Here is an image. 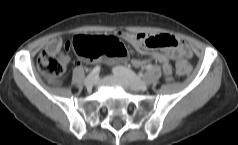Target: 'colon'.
I'll return each mask as SVG.
<instances>
[{
  "mask_svg": "<svg viewBox=\"0 0 238 145\" xmlns=\"http://www.w3.org/2000/svg\"><path fill=\"white\" fill-rule=\"evenodd\" d=\"M67 47L87 61L106 58L110 62H120L127 57L126 47L113 36L79 35L71 39ZM36 63L40 71L52 78L62 76L67 69L64 60L47 50L39 54ZM190 71L191 66L187 61L181 60L176 63L178 75H187Z\"/></svg>",
  "mask_w": 238,
  "mask_h": 145,
  "instance_id": "5ec220e1",
  "label": "colon"
}]
</instances>
